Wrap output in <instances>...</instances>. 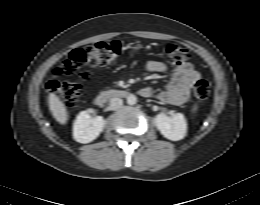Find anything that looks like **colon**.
Wrapping results in <instances>:
<instances>
[{
	"label": "colon",
	"instance_id": "colon-1",
	"mask_svg": "<svg viewBox=\"0 0 260 205\" xmlns=\"http://www.w3.org/2000/svg\"><path fill=\"white\" fill-rule=\"evenodd\" d=\"M164 52L170 62L177 65L188 57V50L176 43H167ZM120 54L121 45L117 41L98 42L75 49L56 69L55 77L48 82L47 89L66 103L76 105L82 93L81 81H70L62 77L76 75L80 80H88L89 68L110 65L120 57ZM193 92L196 98L205 100L210 95V85L206 80L199 79L193 87Z\"/></svg>",
	"mask_w": 260,
	"mask_h": 205
}]
</instances>
